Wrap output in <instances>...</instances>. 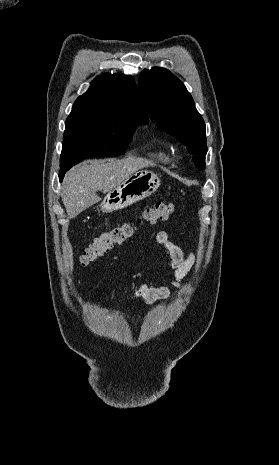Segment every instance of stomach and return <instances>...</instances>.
<instances>
[{"label":"stomach","instance_id":"stomach-1","mask_svg":"<svg viewBox=\"0 0 279 465\" xmlns=\"http://www.w3.org/2000/svg\"><path fill=\"white\" fill-rule=\"evenodd\" d=\"M159 186L160 179L155 173L138 171L105 196L101 209L103 212L121 210L150 196Z\"/></svg>","mask_w":279,"mask_h":465}]
</instances>
